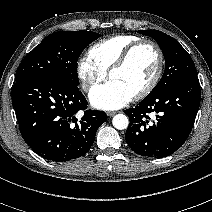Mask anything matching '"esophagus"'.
<instances>
[{"label":"esophagus","mask_w":212,"mask_h":212,"mask_svg":"<svg viewBox=\"0 0 212 212\" xmlns=\"http://www.w3.org/2000/svg\"><path fill=\"white\" fill-rule=\"evenodd\" d=\"M116 114V112H114V111H109V112H107V115L109 116V117H112V116H114Z\"/></svg>","instance_id":"esophagus-1"}]
</instances>
